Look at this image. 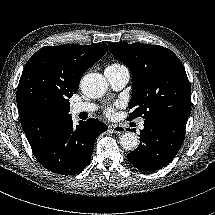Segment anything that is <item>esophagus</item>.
I'll return each instance as SVG.
<instances>
[{"label": "esophagus", "mask_w": 215, "mask_h": 215, "mask_svg": "<svg viewBox=\"0 0 215 215\" xmlns=\"http://www.w3.org/2000/svg\"><path fill=\"white\" fill-rule=\"evenodd\" d=\"M109 128L116 134H124L126 132L125 127L120 124H110Z\"/></svg>", "instance_id": "1"}]
</instances>
